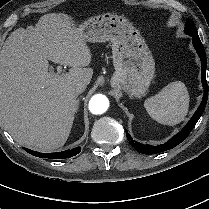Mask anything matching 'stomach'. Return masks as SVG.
Returning <instances> with one entry per match:
<instances>
[{
	"label": "stomach",
	"mask_w": 209,
	"mask_h": 209,
	"mask_svg": "<svg viewBox=\"0 0 209 209\" xmlns=\"http://www.w3.org/2000/svg\"><path fill=\"white\" fill-rule=\"evenodd\" d=\"M77 28L85 42L112 43L111 86L130 96H143L154 77L155 62L140 32L124 16L112 13L90 17Z\"/></svg>",
	"instance_id": "1"
}]
</instances>
